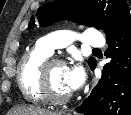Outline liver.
<instances>
[{
    "label": "liver",
    "instance_id": "6515ba94",
    "mask_svg": "<svg viewBox=\"0 0 131 115\" xmlns=\"http://www.w3.org/2000/svg\"><path fill=\"white\" fill-rule=\"evenodd\" d=\"M14 115H55L53 112L45 111L34 106H19L13 110Z\"/></svg>",
    "mask_w": 131,
    "mask_h": 115
}]
</instances>
